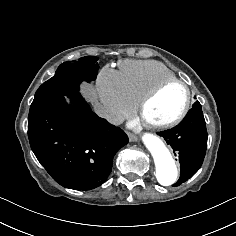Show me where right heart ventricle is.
Returning <instances> with one entry per match:
<instances>
[{"mask_svg":"<svg viewBox=\"0 0 236 236\" xmlns=\"http://www.w3.org/2000/svg\"><path fill=\"white\" fill-rule=\"evenodd\" d=\"M121 73L130 98L139 100L162 80L177 78L165 64L152 60H130L122 64Z\"/></svg>","mask_w":236,"mask_h":236,"instance_id":"1","label":"right heart ventricle"}]
</instances>
